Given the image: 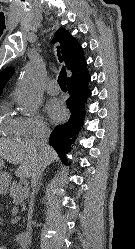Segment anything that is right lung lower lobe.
<instances>
[{
	"label": "right lung lower lobe",
	"mask_w": 135,
	"mask_h": 249,
	"mask_svg": "<svg viewBox=\"0 0 135 249\" xmlns=\"http://www.w3.org/2000/svg\"><path fill=\"white\" fill-rule=\"evenodd\" d=\"M91 76L88 74L81 80L67 83L69 97L67 99V107L70 111V118L67 122L58 125L50 135L49 143L57 151V154L66 160L65 153L70 150L69 137L76 135L82 126V117L85 114V102L91 96V90L88 84ZM73 141V140H72Z\"/></svg>",
	"instance_id": "98d812e1"
}]
</instances>
